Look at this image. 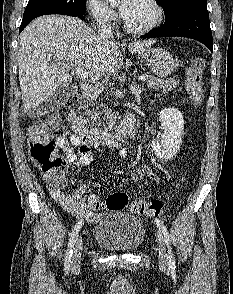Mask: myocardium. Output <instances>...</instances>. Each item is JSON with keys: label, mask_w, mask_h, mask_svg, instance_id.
Listing matches in <instances>:
<instances>
[{"label": "myocardium", "mask_w": 233, "mask_h": 294, "mask_svg": "<svg viewBox=\"0 0 233 294\" xmlns=\"http://www.w3.org/2000/svg\"><path fill=\"white\" fill-rule=\"evenodd\" d=\"M146 2L153 8L154 10V18L153 20L144 25V26H133L129 24L125 18L122 19L124 28L130 33L134 34H146L151 32L155 28H157L163 21L164 18V10L162 6L158 3L157 0H146Z\"/></svg>", "instance_id": "f54148a6"}]
</instances>
